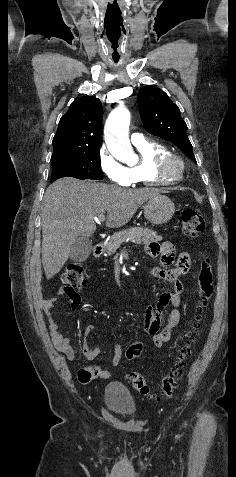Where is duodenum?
<instances>
[{
    "label": "duodenum",
    "mask_w": 236,
    "mask_h": 477,
    "mask_svg": "<svg viewBox=\"0 0 236 477\" xmlns=\"http://www.w3.org/2000/svg\"><path fill=\"white\" fill-rule=\"evenodd\" d=\"M103 248H104V243L103 242H98L95 246H94V249H93V252H94V255L95 256H98L102 253L103 251Z\"/></svg>",
    "instance_id": "duodenum-1"
}]
</instances>
